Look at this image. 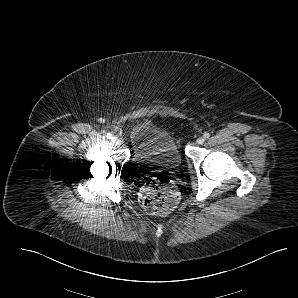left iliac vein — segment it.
<instances>
[{"instance_id": "left-iliac-vein-1", "label": "left iliac vein", "mask_w": 298, "mask_h": 298, "mask_svg": "<svg viewBox=\"0 0 298 298\" xmlns=\"http://www.w3.org/2000/svg\"><path fill=\"white\" fill-rule=\"evenodd\" d=\"M204 142H205L204 137H199V138H197V140H196V143L199 144V145L203 144Z\"/></svg>"}]
</instances>
